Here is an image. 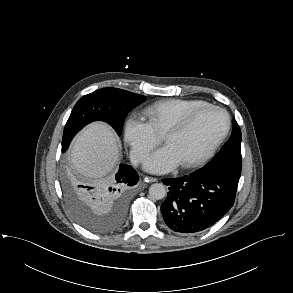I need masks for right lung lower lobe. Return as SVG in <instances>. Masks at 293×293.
<instances>
[{
	"mask_svg": "<svg viewBox=\"0 0 293 293\" xmlns=\"http://www.w3.org/2000/svg\"><path fill=\"white\" fill-rule=\"evenodd\" d=\"M139 180L137 172L127 164H120L119 171L110 180L93 187L80 184L83 202L98 214H107L119 223L107 232L116 230L127 213V190Z\"/></svg>",
	"mask_w": 293,
	"mask_h": 293,
	"instance_id": "obj_1",
	"label": "right lung lower lobe"
}]
</instances>
